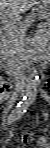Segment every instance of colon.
<instances>
[{
    "label": "colon",
    "mask_w": 50,
    "mask_h": 148,
    "mask_svg": "<svg viewBox=\"0 0 50 148\" xmlns=\"http://www.w3.org/2000/svg\"><path fill=\"white\" fill-rule=\"evenodd\" d=\"M8 93V88L6 86H4L2 89H1V95H6Z\"/></svg>",
    "instance_id": "obj_1"
}]
</instances>
